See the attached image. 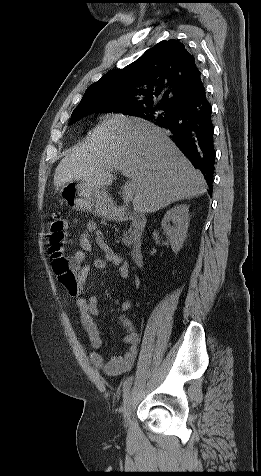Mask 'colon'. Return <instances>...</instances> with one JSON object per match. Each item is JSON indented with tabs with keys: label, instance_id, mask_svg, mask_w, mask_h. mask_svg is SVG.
Instances as JSON below:
<instances>
[{
	"label": "colon",
	"instance_id": "5ec220e1",
	"mask_svg": "<svg viewBox=\"0 0 261 476\" xmlns=\"http://www.w3.org/2000/svg\"><path fill=\"white\" fill-rule=\"evenodd\" d=\"M50 235V251L52 266L58 280L66 290L75 291L78 286L77 271L64 253L63 242L67 236L66 222L59 216L52 221Z\"/></svg>",
	"mask_w": 261,
	"mask_h": 476
}]
</instances>
